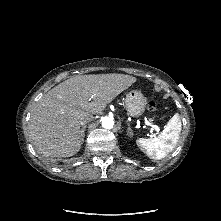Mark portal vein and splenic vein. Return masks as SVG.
Wrapping results in <instances>:
<instances>
[{"mask_svg": "<svg viewBox=\"0 0 221 221\" xmlns=\"http://www.w3.org/2000/svg\"><path fill=\"white\" fill-rule=\"evenodd\" d=\"M147 125L151 126L153 130H156V131L159 130V127L156 125H151L150 123H147Z\"/></svg>", "mask_w": 221, "mask_h": 221, "instance_id": "18ae733b", "label": "portal vein and splenic vein"}]
</instances>
